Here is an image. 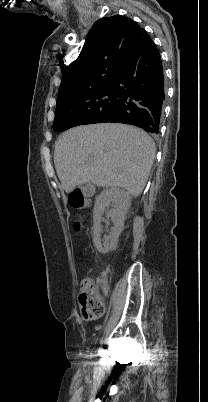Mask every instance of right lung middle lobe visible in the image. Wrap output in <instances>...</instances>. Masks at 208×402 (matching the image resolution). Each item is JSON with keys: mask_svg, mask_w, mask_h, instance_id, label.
Listing matches in <instances>:
<instances>
[{"mask_svg": "<svg viewBox=\"0 0 208 402\" xmlns=\"http://www.w3.org/2000/svg\"><path fill=\"white\" fill-rule=\"evenodd\" d=\"M116 93L117 88L110 80L58 95L53 129L57 130L61 121L81 122L110 111L116 105Z\"/></svg>", "mask_w": 208, "mask_h": 402, "instance_id": "1", "label": "right lung middle lobe"}]
</instances>
